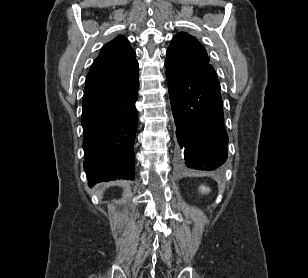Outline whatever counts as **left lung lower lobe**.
<instances>
[{
    "label": "left lung lower lobe",
    "mask_w": 308,
    "mask_h": 278,
    "mask_svg": "<svg viewBox=\"0 0 308 278\" xmlns=\"http://www.w3.org/2000/svg\"><path fill=\"white\" fill-rule=\"evenodd\" d=\"M166 78L181 157L191 168H218L227 159L228 135L214 68L210 64L189 70L166 67Z\"/></svg>",
    "instance_id": "obj_1"
}]
</instances>
